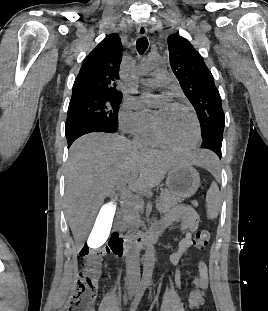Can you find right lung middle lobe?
<instances>
[{"instance_id":"dd1d6c3e","label":"right lung middle lobe","mask_w":268,"mask_h":311,"mask_svg":"<svg viewBox=\"0 0 268 311\" xmlns=\"http://www.w3.org/2000/svg\"><path fill=\"white\" fill-rule=\"evenodd\" d=\"M122 95L72 92L66 129L80 122H93L111 130L118 129V111Z\"/></svg>"}]
</instances>
